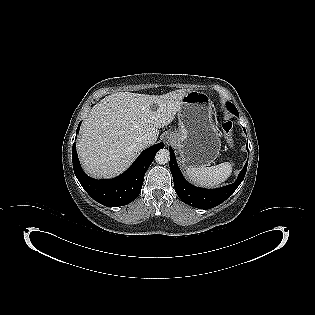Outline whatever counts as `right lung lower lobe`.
<instances>
[{
	"instance_id": "1",
	"label": "right lung lower lobe",
	"mask_w": 315,
	"mask_h": 315,
	"mask_svg": "<svg viewBox=\"0 0 315 315\" xmlns=\"http://www.w3.org/2000/svg\"><path fill=\"white\" fill-rule=\"evenodd\" d=\"M79 128L80 124L76 133L79 132ZM163 147L164 143H158L145 149L129 169L116 178L95 180L83 172L74 143L72 150L73 169L82 187L94 200L107 207L123 206L138 197L144 175L152 163L155 153Z\"/></svg>"
}]
</instances>
